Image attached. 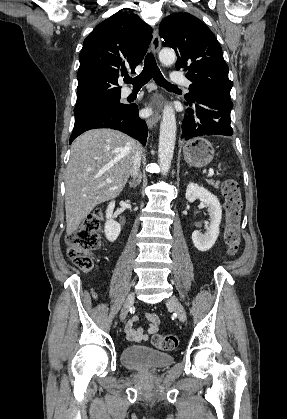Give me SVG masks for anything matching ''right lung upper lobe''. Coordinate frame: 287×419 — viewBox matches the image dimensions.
Segmentation results:
<instances>
[{"label": "right lung upper lobe", "instance_id": "1", "mask_svg": "<svg viewBox=\"0 0 287 419\" xmlns=\"http://www.w3.org/2000/svg\"><path fill=\"white\" fill-rule=\"evenodd\" d=\"M151 39V27L135 14L117 12L98 24L79 55L75 107L120 95L119 76L135 72Z\"/></svg>", "mask_w": 287, "mask_h": 419}]
</instances>
